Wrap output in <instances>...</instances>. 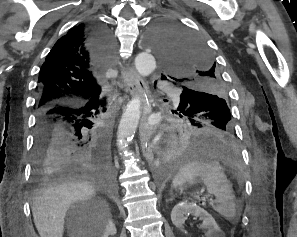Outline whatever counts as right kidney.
<instances>
[{
	"instance_id": "ca27d5eb",
	"label": "right kidney",
	"mask_w": 297,
	"mask_h": 237,
	"mask_svg": "<svg viewBox=\"0 0 297 237\" xmlns=\"http://www.w3.org/2000/svg\"><path fill=\"white\" fill-rule=\"evenodd\" d=\"M117 232L115 224L111 221L108 220L105 225H104V230H101L100 226L95 227V229L89 233L85 234L86 237H108L115 235Z\"/></svg>"
}]
</instances>
